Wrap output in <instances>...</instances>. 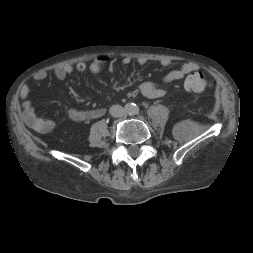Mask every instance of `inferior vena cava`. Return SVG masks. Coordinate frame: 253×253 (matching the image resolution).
I'll list each match as a JSON object with an SVG mask.
<instances>
[{"label": "inferior vena cava", "instance_id": "inferior-vena-cava-1", "mask_svg": "<svg viewBox=\"0 0 253 253\" xmlns=\"http://www.w3.org/2000/svg\"><path fill=\"white\" fill-rule=\"evenodd\" d=\"M125 108H123L121 105H113L110 108V114L113 117H121L125 114Z\"/></svg>", "mask_w": 253, "mask_h": 253}]
</instances>
